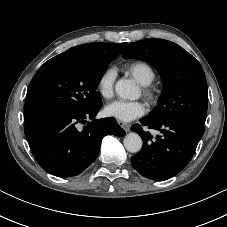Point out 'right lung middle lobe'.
I'll list each match as a JSON object with an SVG mask.
<instances>
[{"label":"right lung middle lobe","mask_w":227,"mask_h":227,"mask_svg":"<svg viewBox=\"0 0 227 227\" xmlns=\"http://www.w3.org/2000/svg\"><path fill=\"white\" fill-rule=\"evenodd\" d=\"M119 54L116 49L101 57L64 52L45 62L29 85L24 121L52 111L86 110L101 102L96 88Z\"/></svg>","instance_id":"dd1d6c3e"}]
</instances>
